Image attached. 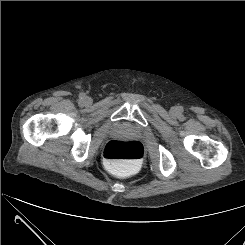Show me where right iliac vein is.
<instances>
[{
	"label": "right iliac vein",
	"mask_w": 245,
	"mask_h": 245,
	"mask_svg": "<svg viewBox=\"0 0 245 245\" xmlns=\"http://www.w3.org/2000/svg\"><path fill=\"white\" fill-rule=\"evenodd\" d=\"M84 101H85L86 103H89V102H90V98L86 97V98L84 99Z\"/></svg>",
	"instance_id": "63e3f726"
}]
</instances>
